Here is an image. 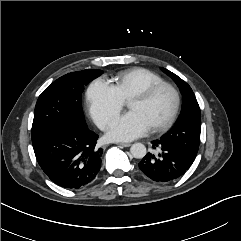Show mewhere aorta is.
<instances>
[{
  "label": "aorta",
  "instance_id": "1",
  "mask_svg": "<svg viewBox=\"0 0 241 241\" xmlns=\"http://www.w3.org/2000/svg\"><path fill=\"white\" fill-rule=\"evenodd\" d=\"M130 153L134 158L142 159L146 155V147L142 143H134L130 148Z\"/></svg>",
  "mask_w": 241,
  "mask_h": 241
}]
</instances>
